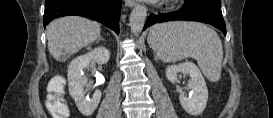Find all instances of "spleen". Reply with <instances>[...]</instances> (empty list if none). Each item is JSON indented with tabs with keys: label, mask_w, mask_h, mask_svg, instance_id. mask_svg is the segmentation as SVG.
Here are the masks:
<instances>
[{
	"label": "spleen",
	"mask_w": 273,
	"mask_h": 118,
	"mask_svg": "<svg viewBox=\"0 0 273 118\" xmlns=\"http://www.w3.org/2000/svg\"><path fill=\"white\" fill-rule=\"evenodd\" d=\"M150 47L163 62L194 58L203 74L212 82L221 77L223 48L218 34L196 22H169L151 27Z\"/></svg>",
	"instance_id": "spleen-1"
}]
</instances>
